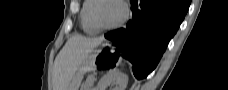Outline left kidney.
I'll use <instances>...</instances> for the list:
<instances>
[{
    "mask_svg": "<svg viewBox=\"0 0 228 90\" xmlns=\"http://www.w3.org/2000/svg\"><path fill=\"white\" fill-rule=\"evenodd\" d=\"M110 81H113L116 84L114 90H125L128 84V76L119 71L108 73L98 82L97 90H105Z\"/></svg>",
    "mask_w": 228,
    "mask_h": 90,
    "instance_id": "1",
    "label": "left kidney"
}]
</instances>
